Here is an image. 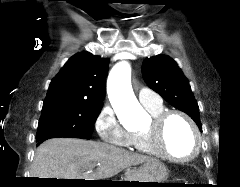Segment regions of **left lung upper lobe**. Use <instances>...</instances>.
<instances>
[{"label":"left lung upper lobe","mask_w":240,"mask_h":187,"mask_svg":"<svg viewBox=\"0 0 240 187\" xmlns=\"http://www.w3.org/2000/svg\"><path fill=\"white\" fill-rule=\"evenodd\" d=\"M142 74L152 90L175 108L187 113L202 129L199 107L189 82L172 58L165 55L146 58L142 64Z\"/></svg>","instance_id":"left-lung-upper-lobe-1"}]
</instances>
